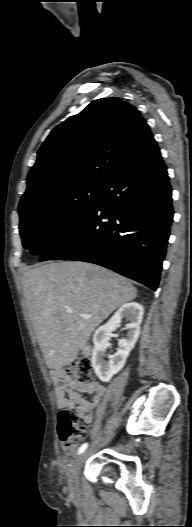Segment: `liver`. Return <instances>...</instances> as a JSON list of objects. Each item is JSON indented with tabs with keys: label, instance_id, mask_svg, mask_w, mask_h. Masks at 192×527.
Here are the masks:
<instances>
[{
	"label": "liver",
	"instance_id": "liver-1",
	"mask_svg": "<svg viewBox=\"0 0 192 527\" xmlns=\"http://www.w3.org/2000/svg\"><path fill=\"white\" fill-rule=\"evenodd\" d=\"M22 283L28 313L50 369L74 361L95 328L137 296V289L126 278L84 262H51L29 269L23 273ZM67 308L72 313H67Z\"/></svg>",
	"mask_w": 192,
	"mask_h": 527
}]
</instances>
